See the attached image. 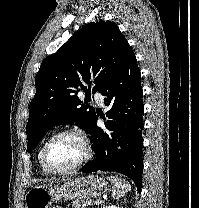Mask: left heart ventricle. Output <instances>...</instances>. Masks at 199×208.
I'll return each mask as SVG.
<instances>
[{"instance_id":"1","label":"left heart ventricle","mask_w":199,"mask_h":208,"mask_svg":"<svg viewBox=\"0 0 199 208\" xmlns=\"http://www.w3.org/2000/svg\"><path fill=\"white\" fill-rule=\"evenodd\" d=\"M83 155V145L72 135H64L56 138L48 148L49 162L53 167L58 169L73 166L82 159Z\"/></svg>"}]
</instances>
